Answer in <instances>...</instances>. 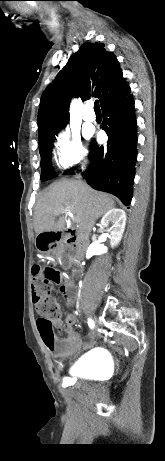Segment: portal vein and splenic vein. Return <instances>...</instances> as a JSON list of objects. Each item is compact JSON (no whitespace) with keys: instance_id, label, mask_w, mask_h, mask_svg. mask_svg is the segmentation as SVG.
<instances>
[{"instance_id":"obj_1","label":"portal vein and splenic vein","mask_w":165,"mask_h":461,"mask_svg":"<svg viewBox=\"0 0 165 461\" xmlns=\"http://www.w3.org/2000/svg\"><path fill=\"white\" fill-rule=\"evenodd\" d=\"M66 215H69V216H73V214H72V213H67Z\"/></svg>"}]
</instances>
